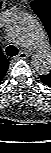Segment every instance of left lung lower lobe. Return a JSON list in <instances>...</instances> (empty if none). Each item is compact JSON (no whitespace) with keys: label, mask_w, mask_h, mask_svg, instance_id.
Returning a JSON list of instances; mask_svg holds the SVG:
<instances>
[{"label":"left lung lower lobe","mask_w":51,"mask_h":153,"mask_svg":"<svg viewBox=\"0 0 51 153\" xmlns=\"http://www.w3.org/2000/svg\"><path fill=\"white\" fill-rule=\"evenodd\" d=\"M41 80H42V79H41ZM42 81L44 82V80H42ZM48 86H51V85L48 84Z\"/></svg>","instance_id":"obj_1"}]
</instances>
